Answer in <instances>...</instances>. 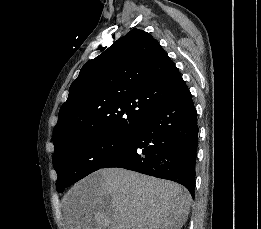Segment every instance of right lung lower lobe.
<instances>
[{
	"label": "right lung lower lobe",
	"mask_w": 261,
	"mask_h": 229,
	"mask_svg": "<svg viewBox=\"0 0 261 229\" xmlns=\"http://www.w3.org/2000/svg\"><path fill=\"white\" fill-rule=\"evenodd\" d=\"M197 112L183 81L135 133L129 147L102 168L119 167L186 187L194 198Z\"/></svg>",
	"instance_id": "obj_1"
}]
</instances>
